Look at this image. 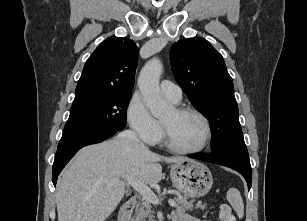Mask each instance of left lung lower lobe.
Here are the masks:
<instances>
[{
	"label": "left lung lower lobe",
	"mask_w": 307,
	"mask_h": 221,
	"mask_svg": "<svg viewBox=\"0 0 307 221\" xmlns=\"http://www.w3.org/2000/svg\"><path fill=\"white\" fill-rule=\"evenodd\" d=\"M189 157L226 166L238 171L244 176L246 182L248 183V190H250L252 183V169L249 159H243L230 153L199 154Z\"/></svg>",
	"instance_id": "left-lung-lower-lobe-1"
}]
</instances>
